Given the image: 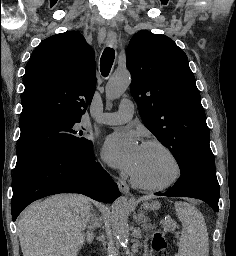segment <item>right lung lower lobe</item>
<instances>
[{"label": "right lung lower lobe", "instance_id": "1", "mask_svg": "<svg viewBox=\"0 0 236 256\" xmlns=\"http://www.w3.org/2000/svg\"><path fill=\"white\" fill-rule=\"evenodd\" d=\"M12 220L33 201L58 193H81L100 202H113L120 192L95 161L92 147L81 152L51 150L16 163L12 177Z\"/></svg>", "mask_w": 236, "mask_h": 256}]
</instances>
